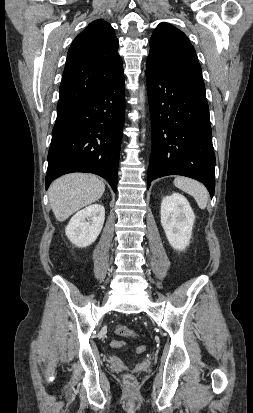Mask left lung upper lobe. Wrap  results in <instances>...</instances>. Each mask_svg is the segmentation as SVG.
Returning a JSON list of instances; mask_svg holds the SVG:
<instances>
[{
    "label": "left lung upper lobe",
    "mask_w": 253,
    "mask_h": 413,
    "mask_svg": "<svg viewBox=\"0 0 253 413\" xmlns=\"http://www.w3.org/2000/svg\"><path fill=\"white\" fill-rule=\"evenodd\" d=\"M171 77L205 94L201 67L187 36L168 23H160L150 39L148 59Z\"/></svg>",
    "instance_id": "5c2ea615"
}]
</instances>
